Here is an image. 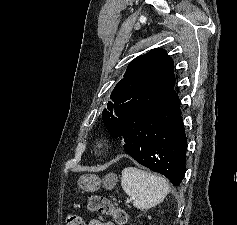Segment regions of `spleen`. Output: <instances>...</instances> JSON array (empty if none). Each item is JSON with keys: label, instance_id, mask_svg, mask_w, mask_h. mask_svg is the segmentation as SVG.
<instances>
[{"label": "spleen", "instance_id": "3e777b00", "mask_svg": "<svg viewBox=\"0 0 237 225\" xmlns=\"http://www.w3.org/2000/svg\"><path fill=\"white\" fill-rule=\"evenodd\" d=\"M121 185L134 200L133 205L140 210L158 205L170 191L168 182L162 176L135 167L122 171Z\"/></svg>", "mask_w": 237, "mask_h": 225}]
</instances>
